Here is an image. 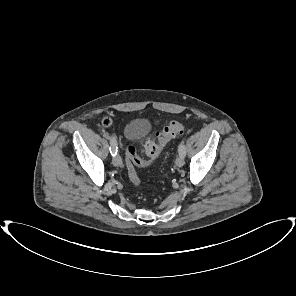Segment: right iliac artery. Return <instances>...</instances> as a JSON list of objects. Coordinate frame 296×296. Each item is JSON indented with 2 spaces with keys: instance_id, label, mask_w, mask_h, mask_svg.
<instances>
[{
  "instance_id": "right-iliac-artery-1",
  "label": "right iliac artery",
  "mask_w": 296,
  "mask_h": 296,
  "mask_svg": "<svg viewBox=\"0 0 296 296\" xmlns=\"http://www.w3.org/2000/svg\"><path fill=\"white\" fill-rule=\"evenodd\" d=\"M105 136L109 137L108 134H106ZM110 152L112 156H115L117 154V142L113 136L110 140Z\"/></svg>"
}]
</instances>
